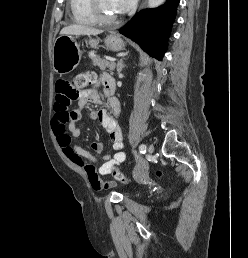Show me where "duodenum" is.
<instances>
[{"mask_svg":"<svg viewBox=\"0 0 248 258\" xmlns=\"http://www.w3.org/2000/svg\"><path fill=\"white\" fill-rule=\"evenodd\" d=\"M108 86H109V89L112 91L113 90V84L109 83Z\"/></svg>","mask_w":248,"mask_h":258,"instance_id":"410a0bca","label":"duodenum"}]
</instances>
